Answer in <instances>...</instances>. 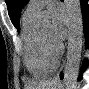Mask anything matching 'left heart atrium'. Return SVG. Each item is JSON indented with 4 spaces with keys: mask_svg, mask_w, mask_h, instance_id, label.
<instances>
[{
    "mask_svg": "<svg viewBox=\"0 0 89 89\" xmlns=\"http://www.w3.org/2000/svg\"><path fill=\"white\" fill-rule=\"evenodd\" d=\"M66 35V19L60 8L52 10L51 37L56 44H60Z\"/></svg>",
    "mask_w": 89,
    "mask_h": 89,
    "instance_id": "1",
    "label": "left heart atrium"
}]
</instances>
